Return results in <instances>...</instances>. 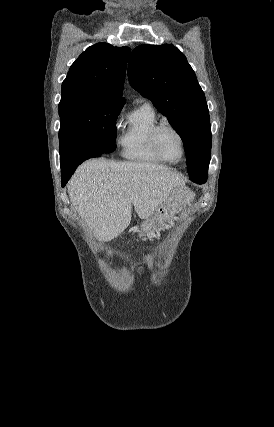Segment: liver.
Masks as SVG:
<instances>
[{"label": "liver", "instance_id": "liver-1", "mask_svg": "<svg viewBox=\"0 0 274 427\" xmlns=\"http://www.w3.org/2000/svg\"><path fill=\"white\" fill-rule=\"evenodd\" d=\"M185 180L166 166L144 162L88 160L77 168L67 186L71 202L99 241H110L128 227L132 206L148 219L171 200L179 208L193 200Z\"/></svg>", "mask_w": 274, "mask_h": 427}]
</instances>
